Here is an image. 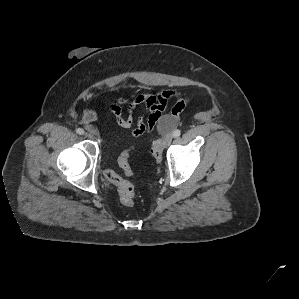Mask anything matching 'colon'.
<instances>
[{
	"mask_svg": "<svg viewBox=\"0 0 299 299\" xmlns=\"http://www.w3.org/2000/svg\"><path fill=\"white\" fill-rule=\"evenodd\" d=\"M174 124L175 123L173 119L170 117H165L160 123V128H171ZM132 150L133 148L124 151L118 159V165L120 169L127 176L132 175V169L130 165V155ZM150 152L155 162L159 163L163 157V147L161 142L154 141L151 145ZM105 177L111 184L117 187L120 201L126 206H132L134 204L135 197L133 184L113 170H107L105 172Z\"/></svg>",
	"mask_w": 299,
	"mask_h": 299,
	"instance_id": "5ec220e1",
	"label": "colon"
}]
</instances>
